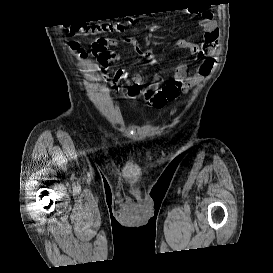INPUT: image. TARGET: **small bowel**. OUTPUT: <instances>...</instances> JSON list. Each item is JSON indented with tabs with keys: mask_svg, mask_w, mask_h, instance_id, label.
Wrapping results in <instances>:
<instances>
[{
	"mask_svg": "<svg viewBox=\"0 0 273 273\" xmlns=\"http://www.w3.org/2000/svg\"><path fill=\"white\" fill-rule=\"evenodd\" d=\"M199 25L203 31L202 42L194 43L187 39H177L172 44L173 49L187 50L198 59L199 63L194 74L188 73L186 63H179L170 82L159 87L157 82L153 81L145 89H141V86L146 83L144 75L138 73L129 76L125 70L119 69L109 78L114 91H118V84L123 82L126 84L125 95L128 99H142L149 107L160 109L167 103L174 101L180 94L186 93L198 85L212 71L218 52L219 37L217 24L211 13L204 12ZM73 44L78 45L77 42H73ZM121 44L129 45L133 52L140 56L150 57L148 53L138 47L133 37L98 38L91 45V54L97 58L104 74H106L107 67L111 62L120 59L119 53L112 48Z\"/></svg>",
	"mask_w": 273,
	"mask_h": 273,
	"instance_id": "1",
	"label": "small bowel"
}]
</instances>
